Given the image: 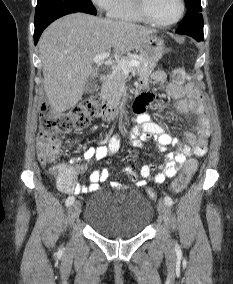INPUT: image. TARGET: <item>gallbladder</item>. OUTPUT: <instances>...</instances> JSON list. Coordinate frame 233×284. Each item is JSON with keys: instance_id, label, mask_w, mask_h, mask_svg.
I'll use <instances>...</instances> for the list:
<instances>
[{"instance_id": "bac80fb5", "label": "gallbladder", "mask_w": 233, "mask_h": 284, "mask_svg": "<svg viewBox=\"0 0 233 284\" xmlns=\"http://www.w3.org/2000/svg\"><path fill=\"white\" fill-rule=\"evenodd\" d=\"M98 86L96 76L92 75L85 81L84 93L91 94L96 91Z\"/></svg>"}]
</instances>
